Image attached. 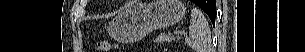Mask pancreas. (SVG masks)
Listing matches in <instances>:
<instances>
[{
  "mask_svg": "<svg viewBox=\"0 0 305 52\" xmlns=\"http://www.w3.org/2000/svg\"><path fill=\"white\" fill-rule=\"evenodd\" d=\"M175 40V38L174 37H171V36H169V35H166V34H161V35H159L155 40H154V42L155 43H170V42H172V41H174Z\"/></svg>",
  "mask_w": 305,
  "mask_h": 52,
  "instance_id": "obj_1",
  "label": "pancreas"
}]
</instances>
